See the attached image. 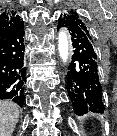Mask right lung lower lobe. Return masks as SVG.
Wrapping results in <instances>:
<instances>
[{
    "label": "right lung lower lobe",
    "instance_id": "1",
    "mask_svg": "<svg viewBox=\"0 0 117 136\" xmlns=\"http://www.w3.org/2000/svg\"><path fill=\"white\" fill-rule=\"evenodd\" d=\"M23 21L0 41V99L24 105L26 67L24 65Z\"/></svg>",
    "mask_w": 117,
    "mask_h": 136
}]
</instances>
